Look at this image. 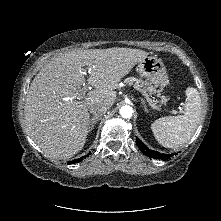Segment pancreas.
I'll list each match as a JSON object with an SVG mask.
<instances>
[{
  "label": "pancreas",
  "mask_w": 221,
  "mask_h": 221,
  "mask_svg": "<svg viewBox=\"0 0 221 221\" xmlns=\"http://www.w3.org/2000/svg\"><path fill=\"white\" fill-rule=\"evenodd\" d=\"M124 82L129 85H133L135 87L143 88V89H145L149 92H152V93L157 92L156 88L153 85H151V83L144 82V81L134 78V77L126 78ZM163 102L164 103L167 102V99H164Z\"/></svg>",
  "instance_id": "obj_1"
}]
</instances>
